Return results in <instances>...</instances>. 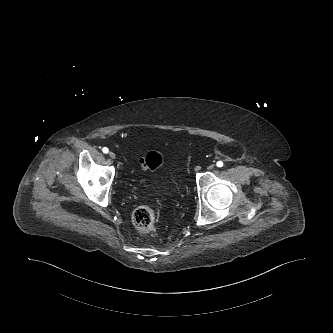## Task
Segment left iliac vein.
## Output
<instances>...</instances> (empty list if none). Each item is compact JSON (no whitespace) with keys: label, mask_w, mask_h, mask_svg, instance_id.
<instances>
[{"label":"left iliac vein","mask_w":333,"mask_h":333,"mask_svg":"<svg viewBox=\"0 0 333 333\" xmlns=\"http://www.w3.org/2000/svg\"><path fill=\"white\" fill-rule=\"evenodd\" d=\"M207 168H208V170H212V169L214 168V165L211 164V165H209Z\"/></svg>","instance_id":"4c4485c4"}]
</instances>
